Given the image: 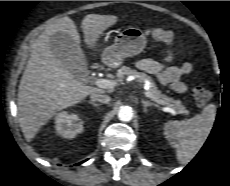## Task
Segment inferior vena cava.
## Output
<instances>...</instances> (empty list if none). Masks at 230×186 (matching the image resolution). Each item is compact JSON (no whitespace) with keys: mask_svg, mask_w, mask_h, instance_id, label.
I'll use <instances>...</instances> for the list:
<instances>
[{"mask_svg":"<svg viewBox=\"0 0 230 186\" xmlns=\"http://www.w3.org/2000/svg\"><path fill=\"white\" fill-rule=\"evenodd\" d=\"M91 101H96V102H100L103 104H107L110 102L111 98L108 95H104L101 93H92L90 95Z\"/></svg>","mask_w":230,"mask_h":186,"instance_id":"obj_1","label":"inferior vena cava"}]
</instances>
